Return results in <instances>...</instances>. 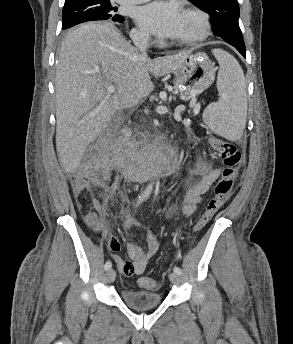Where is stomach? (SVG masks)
I'll return each mask as SVG.
<instances>
[{"label": "stomach", "mask_w": 293, "mask_h": 344, "mask_svg": "<svg viewBox=\"0 0 293 344\" xmlns=\"http://www.w3.org/2000/svg\"><path fill=\"white\" fill-rule=\"evenodd\" d=\"M172 73L175 88L186 96H194L213 83L215 68L206 54L196 53L188 55Z\"/></svg>", "instance_id": "stomach-1"}]
</instances>
